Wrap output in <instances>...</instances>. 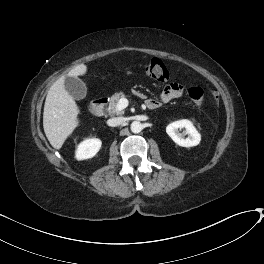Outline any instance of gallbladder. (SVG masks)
I'll return each instance as SVG.
<instances>
[{
	"instance_id": "bac80fb5",
	"label": "gallbladder",
	"mask_w": 264,
	"mask_h": 264,
	"mask_svg": "<svg viewBox=\"0 0 264 264\" xmlns=\"http://www.w3.org/2000/svg\"><path fill=\"white\" fill-rule=\"evenodd\" d=\"M65 88L69 94L76 100L85 98L87 94V87L85 83L77 77H66Z\"/></svg>"
}]
</instances>
